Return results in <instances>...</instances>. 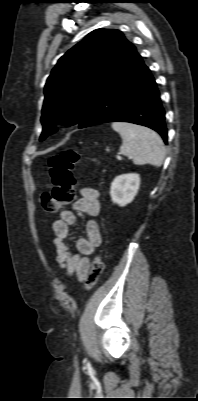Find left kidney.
<instances>
[{
  "instance_id": "obj_1",
  "label": "left kidney",
  "mask_w": 198,
  "mask_h": 401,
  "mask_svg": "<svg viewBox=\"0 0 198 401\" xmlns=\"http://www.w3.org/2000/svg\"><path fill=\"white\" fill-rule=\"evenodd\" d=\"M140 187V176L136 173L117 176L111 183L110 196L113 203L126 206L131 203Z\"/></svg>"
}]
</instances>
